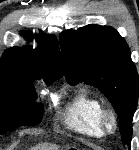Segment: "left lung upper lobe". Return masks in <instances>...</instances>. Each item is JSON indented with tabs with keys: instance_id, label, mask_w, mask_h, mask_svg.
Returning a JSON list of instances; mask_svg holds the SVG:
<instances>
[{
	"instance_id": "1",
	"label": "left lung upper lobe",
	"mask_w": 139,
	"mask_h": 150,
	"mask_svg": "<svg viewBox=\"0 0 139 150\" xmlns=\"http://www.w3.org/2000/svg\"><path fill=\"white\" fill-rule=\"evenodd\" d=\"M60 43L67 81H85L105 94L120 118L122 142L130 146L139 76L125 40L111 27L88 25L63 31Z\"/></svg>"
}]
</instances>
